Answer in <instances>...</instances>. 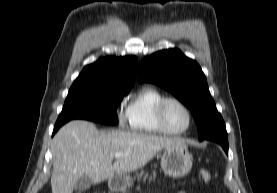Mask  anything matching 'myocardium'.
I'll return each mask as SVG.
<instances>
[{
	"instance_id": "myocardium-1",
	"label": "myocardium",
	"mask_w": 277,
	"mask_h": 193,
	"mask_svg": "<svg viewBox=\"0 0 277 193\" xmlns=\"http://www.w3.org/2000/svg\"><path fill=\"white\" fill-rule=\"evenodd\" d=\"M170 102H175V103L179 104L186 111L189 121H188V125L185 129L180 130V131H174V130H172L168 127V125L166 123V120H165V108H166L167 104L170 103ZM156 118H157V123H158V126L160 127V129L165 134H169V135L185 134L186 132H188L190 130V128L193 125V121H194L193 114H192V111L189 108V106L184 101H182L181 99H179L177 97H165L159 103V105L157 107Z\"/></svg>"
}]
</instances>
